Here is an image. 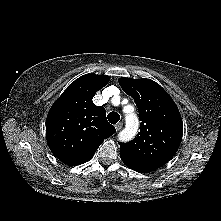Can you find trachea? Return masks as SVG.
<instances>
[{
	"mask_svg": "<svg viewBox=\"0 0 221 221\" xmlns=\"http://www.w3.org/2000/svg\"><path fill=\"white\" fill-rule=\"evenodd\" d=\"M120 120V115L116 112H110L108 114V121L111 124H116Z\"/></svg>",
	"mask_w": 221,
	"mask_h": 221,
	"instance_id": "trachea-1",
	"label": "trachea"
}]
</instances>
